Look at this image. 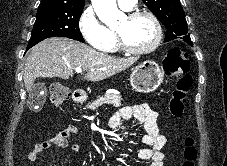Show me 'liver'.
Masks as SVG:
<instances>
[{
	"label": "liver",
	"instance_id": "liver-1",
	"mask_svg": "<svg viewBox=\"0 0 227 166\" xmlns=\"http://www.w3.org/2000/svg\"><path fill=\"white\" fill-rule=\"evenodd\" d=\"M136 58H116L64 37H51L35 45L25 63L23 80L29 92L39 77L69 79L75 68L85 71L84 79L99 82L136 62Z\"/></svg>",
	"mask_w": 227,
	"mask_h": 166
}]
</instances>
